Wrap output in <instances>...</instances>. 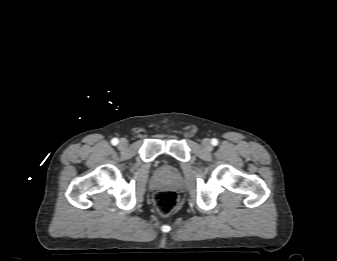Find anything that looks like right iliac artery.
<instances>
[{
  "mask_svg": "<svg viewBox=\"0 0 337 261\" xmlns=\"http://www.w3.org/2000/svg\"><path fill=\"white\" fill-rule=\"evenodd\" d=\"M118 142H119V140H118L117 138H113V139L111 140V143H112L113 145H117Z\"/></svg>",
  "mask_w": 337,
  "mask_h": 261,
  "instance_id": "1",
  "label": "right iliac artery"
}]
</instances>
